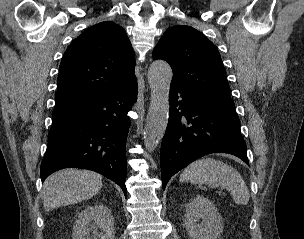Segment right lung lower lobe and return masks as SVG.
Masks as SVG:
<instances>
[{"mask_svg":"<svg viewBox=\"0 0 304 239\" xmlns=\"http://www.w3.org/2000/svg\"><path fill=\"white\" fill-rule=\"evenodd\" d=\"M137 91L134 78L75 109L52 115L41 180L63 168L89 169L117 183L127 196V113Z\"/></svg>","mask_w":304,"mask_h":239,"instance_id":"obj_1","label":"right lung lower lobe"}]
</instances>
